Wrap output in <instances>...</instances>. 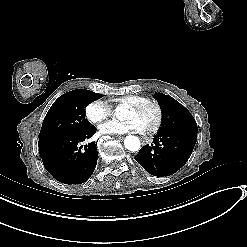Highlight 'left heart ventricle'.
<instances>
[{"label":"left heart ventricle","instance_id":"obj_1","mask_svg":"<svg viewBox=\"0 0 247 247\" xmlns=\"http://www.w3.org/2000/svg\"><path fill=\"white\" fill-rule=\"evenodd\" d=\"M156 116V107L152 104H147L139 111H134L132 109L126 108L124 117L128 120H138L141 125L142 131L147 133L150 129L153 128L156 122Z\"/></svg>","mask_w":247,"mask_h":247}]
</instances>
